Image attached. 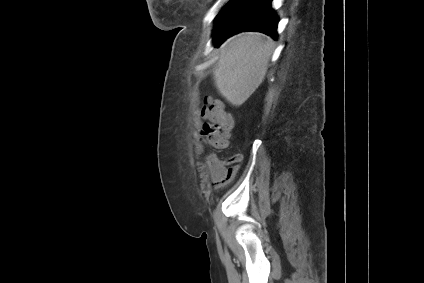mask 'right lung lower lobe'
Masks as SVG:
<instances>
[{"label":"right lung lower lobe","mask_w":424,"mask_h":283,"mask_svg":"<svg viewBox=\"0 0 424 283\" xmlns=\"http://www.w3.org/2000/svg\"><path fill=\"white\" fill-rule=\"evenodd\" d=\"M277 24L270 0H231L217 17L213 34L215 46L243 31L262 32L277 39Z\"/></svg>","instance_id":"1"}]
</instances>
